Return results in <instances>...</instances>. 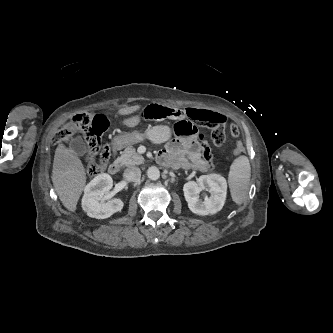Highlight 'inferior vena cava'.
<instances>
[{
  "instance_id": "obj_1",
  "label": "inferior vena cava",
  "mask_w": 333,
  "mask_h": 333,
  "mask_svg": "<svg viewBox=\"0 0 333 333\" xmlns=\"http://www.w3.org/2000/svg\"><path fill=\"white\" fill-rule=\"evenodd\" d=\"M124 178L129 182H134L141 177V170L138 167H129L125 169Z\"/></svg>"
}]
</instances>
